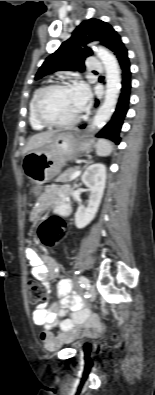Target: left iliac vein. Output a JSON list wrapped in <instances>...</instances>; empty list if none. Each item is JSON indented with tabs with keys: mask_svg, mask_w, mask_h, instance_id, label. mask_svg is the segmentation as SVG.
<instances>
[{
	"mask_svg": "<svg viewBox=\"0 0 155 395\" xmlns=\"http://www.w3.org/2000/svg\"><path fill=\"white\" fill-rule=\"evenodd\" d=\"M88 290H89L90 300H91V301H94L95 298H96V289H95V286L92 285V284H90Z\"/></svg>",
	"mask_w": 155,
	"mask_h": 395,
	"instance_id": "1",
	"label": "left iliac vein"
}]
</instances>
